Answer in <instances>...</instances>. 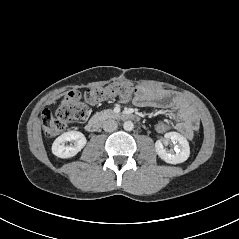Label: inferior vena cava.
<instances>
[{
	"label": "inferior vena cava",
	"mask_w": 239,
	"mask_h": 239,
	"mask_svg": "<svg viewBox=\"0 0 239 239\" xmlns=\"http://www.w3.org/2000/svg\"><path fill=\"white\" fill-rule=\"evenodd\" d=\"M117 127H118L117 122L112 119H108V120L104 121V123H103V129L106 132H112V131L116 130Z\"/></svg>",
	"instance_id": "1"
}]
</instances>
